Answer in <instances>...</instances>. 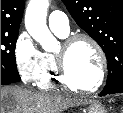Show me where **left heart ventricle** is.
<instances>
[{"mask_svg": "<svg viewBox=\"0 0 123 113\" xmlns=\"http://www.w3.org/2000/svg\"><path fill=\"white\" fill-rule=\"evenodd\" d=\"M66 66L70 79L82 87L88 88L97 80L99 58L93 46L86 41L75 43L69 50Z\"/></svg>", "mask_w": 123, "mask_h": 113, "instance_id": "obj_1", "label": "left heart ventricle"}]
</instances>
